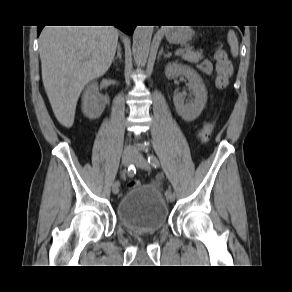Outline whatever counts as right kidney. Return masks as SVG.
<instances>
[{"instance_id":"1","label":"right kidney","mask_w":292,"mask_h":292,"mask_svg":"<svg viewBox=\"0 0 292 292\" xmlns=\"http://www.w3.org/2000/svg\"><path fill=\"white\" fill-rule=\"evenodd\" d=\"M106 99L99 93L98 84L91 83L82 96V111L89 119H97L105 109Z\"/></svg>"}]
</instances>
